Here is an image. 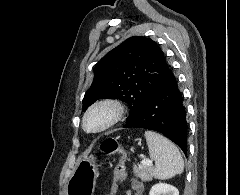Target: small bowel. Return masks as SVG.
Returning a JSON list of instances; mask_svg holds the SVG:
<instances>
[{"label":"small bowel","instance_id":"1","mask_svg":"<svg viewBox=\"0 0 240 195\" xmlns=\"http://www.w3.org/2000/svg\"><path fill=\"white\" fill-rule=\"evenodd\" d=\"M144 185L141 181L136 178L131 179L130 188L127 189L124 195H143Z\"/></svg>","mask_w":240,"mask_h":195}]
</instances>
